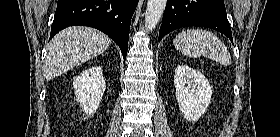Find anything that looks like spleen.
<instances>
[{
  "label": "spleen",
  "mask_w": 280,
  "mask_h": 137,
  "mask_svg": "<svg viewBox=\"0 0 280 137\" xmlns=\"http://www.w3.org/2000/svg\"><path fill=\"white\" fill-rule=\"evenodd\" d=\"M173 45L189 57L197 58L203 55L225 66L231 63L227 47L215 34L207 30H184L175 37Z\"/></svg>",
  "instance_id": "obj_1"
}]
</instances>
